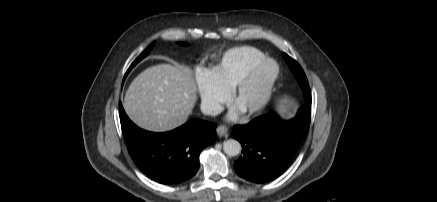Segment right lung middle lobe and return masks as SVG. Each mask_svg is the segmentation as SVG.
Wrapping results in <instances>:
<instances>
[{
    "instance_id": "dd1d6c3e",
    "label": "right lung middle lobe",
    "mask_w": 437,
    "mask_h": 202,
    "mask_svg": "<svg viewBox=\"0 0 437 202\" xmlns=\"http://www.w3.org/2000/svg\"><path fill=\"white\" fill-rule=\"evenodd\" d=\"M154 44H155V42H153L152 44H150L149 46H148V48H146V50L145 51H143V53H141L140 55H139V57L131 64V66L129 67V69H128V71H127V73H126V75L131 71V69L140 61V60H142L144 57H146L147 55H148V53L150 52V50L153 48V46H154ZM126 75H125V77H126Z\"/></svg>"
}]
</instances>
